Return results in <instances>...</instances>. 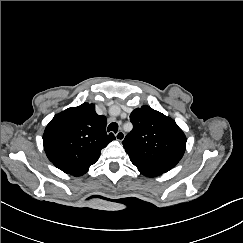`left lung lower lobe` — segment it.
<instances>
[{
    "mask_svg": "<svg viewBox=\"0 0 243 243\" xmlns=\"http://www.w3.org/2000/svg\"><path fill=\"white\" fill-rule=\"evenodd\" d=\"M130 160L143 175L148 176V177H156L171 169V168L164 167V166L146 164V163L132 160V159H130Z\"/></svg>",
    "mask_w": 243,
    "mask_h": 243,
    "instance_id": "obj_1",
    "label": "left lung lower lobe"
}]
</instances>
